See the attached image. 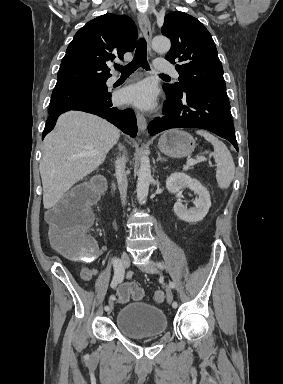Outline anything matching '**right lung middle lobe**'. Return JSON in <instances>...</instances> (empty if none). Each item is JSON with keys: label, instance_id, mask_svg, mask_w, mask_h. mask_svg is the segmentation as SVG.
<instances>
[{"label": "right lung middle lobe", "instance_id": "dd1d6c3e", "mask_svg": "<svg viewBox=\"0 0 283 384\" xmlns=\"http://www.w3.org/2000/svg\"><path fill=\"white\" fill-rule=\"evenodd\" d=\"M109 95L106 82L56 88L53 90L49 109L73 105L88 99L105 98Z\"/></svg>", "mask_w": 283, "mask_h": 384}]
</instances>
